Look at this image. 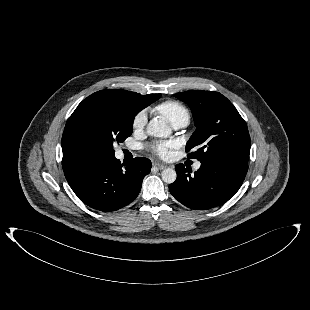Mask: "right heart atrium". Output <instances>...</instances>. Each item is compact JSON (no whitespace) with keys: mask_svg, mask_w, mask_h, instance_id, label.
I'll return each instance as SVG.
<instances>
[{"mask_svg":"<svg viewBox=\"0 0 310 310\" xmlns=\"http://www.w3.org/2000/svg\"><path fill=\"white\" fill-rule=\"evenodd\" d=\"M146 120H147V117H146L145 112H139L133 120V129L135 131H139L143 129L146 124Z\"/></svg>","mask_w":310,"mask_h":310,"instance_id":"1","label":"right heart atrium"}]
</instances>
